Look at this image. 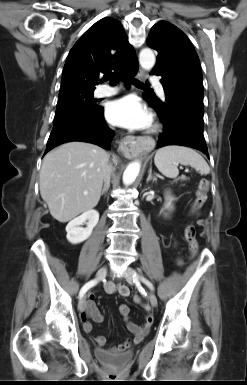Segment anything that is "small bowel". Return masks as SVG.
Instances as JSON below:
<instances>
[{
	"label": "small bowel",
	"mask_w": 247,
	"mask_h": 385,
	"mask_svg": "<svg viewBox=\"0 0 247 385\" xmlns=\"http://www.w3.org/2000/svg\"><path fill=\"white\" fill-rule=\"evenodd\" d=\"M104 289L108 294H119L121 296H129L130 294V288L128 286L123 284H115L114 282H111V281L107 282L104 285ZM134 301L136 303H141L145 308V310L148 312L145 317V321L142 325H137L130 319V316H129L130 311L128 306L124 304L119 306L118 311L122 316L128 331L134 335V338L132 340H127L124 343L119 344L118 346L112 347L110 350L114 353L124 352L133 343L139 342L153 323V316L149 312V306L146 304H143L139 297L137 299H135L134 297ZM81 320L83 323L84 330L86 332H90L92 330V325L90 323V320H93L94 322H97V323H100L103 321V315L96 306L94 294L88 295V298L86 300V308L81 314ZM95 341L97 345L101 348L106 345V339L102 335L96 336Z\"/></svg>",
	"instance_id": "1"
}]
</instances>
